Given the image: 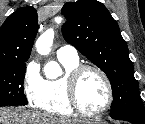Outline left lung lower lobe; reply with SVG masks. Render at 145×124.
Returning a JSON list of instances; mask_svg holds the SVG:
<instances>
[{
  "instance_id": "0a47b994",
  "label": "left lung lower lobe",
  "mask_w": 145,
  "mask_h": 124,
  "mask_svg": "<svg viewBox=\"0 0 145 124\" xmlns=\"http://www.w3.org/2000/svg\"><path fill=\"white\" fill-rule=\"evenodd\" d=\"M126 121H128V122H130V123H132V124H144V123H139V122L131 121V120H126Z\"/></svg>"
}]
</instances>
